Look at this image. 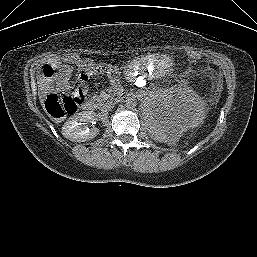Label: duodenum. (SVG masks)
Returning <instances> with one entry per match:
<instances>
[{"label":"duodenum","instance_id":"obj_1","mask_svg":"<svg viewBox=\"0 0 257 257\" xmlns=\"http://www.w3.org/2000/svg\"><path fill=\"white\" fill-rule=\"evenodd\" d=\"M113 102H119L123 99L122 93L120 91H116L110 98ZM95 102L89 101L85 104L84 109L87 112H92L95 110Z\"/></svg>","mask_w":257,"mask_h":257}]
</instances>
